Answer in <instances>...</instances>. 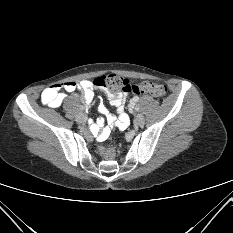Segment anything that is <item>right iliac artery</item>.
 <instances>
[{"instance_id": "right-iliac-artery-1", "label": "right iliac artery", "mask_w": 233, "mask_h": 233, "mask_svg": "<svg viewBox=\"0 0 233 233\" xmlns=\"http://www.w3.org/2000/svg\"><path fill=\"white\" fill-rule=\"evenodd\" d=\"M80 109H81V110H84V107H81Z\"/></svg>"}]
</instances>
